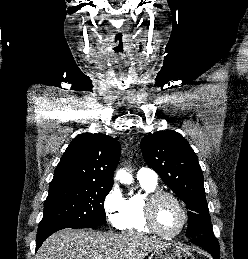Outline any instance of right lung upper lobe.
I'll return each instance as SVG.
<instances>
[{
    "mask_svg": "<svg viewBox=\"0 0 248 259\" xmlns=\"http://www.w3.org/2000/svg\"><path fill=\"white\" fill-rule=\"evenodd\" d=\"M119 142L101 133L76 136L57 165L50 185L92 183L113 185L120 156Z\"/></svg>",
    "mask_w": 248,
    "mask_h": 259,
    "instance_id": "1",
    "label": "right lung upper lobe"
}]
</instances>
